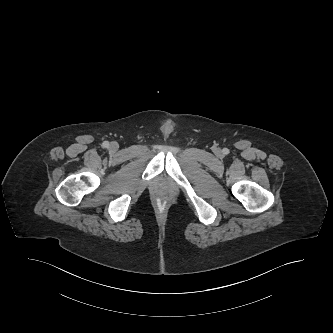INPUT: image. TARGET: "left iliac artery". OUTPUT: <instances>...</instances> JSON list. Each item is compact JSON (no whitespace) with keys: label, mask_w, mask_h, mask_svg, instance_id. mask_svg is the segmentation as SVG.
Masks as SVG:
<instances>
[{"label":"left iliac artery","mask_w":333,"mask_h":333,"mask_svg":"<svg viewBox=\"0 0 333 333\" xmlns=\"http://www.w3.org/2000/svg\"><path fill=\"white\" fill-rule=\"evenodd\" d=\"M224 153H225V154H228V149H224Z\"/></svg>","instance_id":"1"}]
</instances>
